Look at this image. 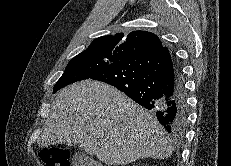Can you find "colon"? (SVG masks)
I'll return each instance as SVG.
<instances>
[{
  "label": "colon",
  "instance_id": "5ec220e1",
  "mask_svg": "<svg viewBox=\"0 0 231 166\" xmlns=\"http://www.w3.org/2000/svg\"><path fill=\"white\" fill-rule=\"evenodd\" d=\"M44 166H70V155L61 148H49L39 154ZM83 166H100L96 163H87Z\"/></svg>",
  "mask_w": 231,
  "mask_h": 166
}]
</instances>
